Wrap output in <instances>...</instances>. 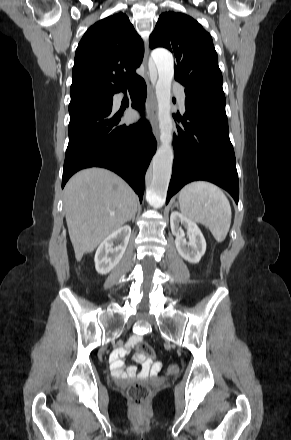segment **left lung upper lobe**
<instances>
[{
    "label": "left lung upper lobe",
    "instance_id": "left-lung-upper-lobe-1",
    "mask_svg": "<svg viewBox=\"0 0 291 440\" xmlns=\"http://www.w3.org/2000/svg\"><path fill=\"white\" fill-rule=\"evenodd\" d=\"M149 45L173 52L175 79L185 86V91L225 101L212 38L196 20L183 13L161 14Z\"/></svg>",
    "mask_w": 291,
    "mask_h": 440
}]
</instances>
